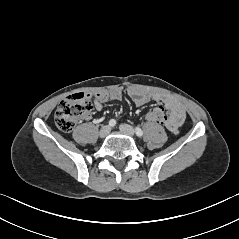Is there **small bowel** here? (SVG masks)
Here are the masks:
<instances>
[{"label": "small bowel", "instance_id": "1", "mask_svg": "<svg viewBox=\"0 0 239 239\" xmlns=\"http://www.w3.org/2000/svg\"><path fill=\"white\" fill-rule=\"evenodd\" d=\"M128 95L134 101V103L139 106L144 105L149 101H154L159 104L152 107L151 109H163L164 106L168 111V116H166V121L163 125H165L166 128L173 134H177L179 132L180 126L185 121L186 112L183 105L177 99L162 93L148 94L136 89L129 90ZM94 97V106L96 110L100 111L103 109V105L106 101L120 100L122 98V92L120 90L98 92L94 95Z\"/></svg>", "mask_w": 239, "mask_h": 239}]
</instances>
